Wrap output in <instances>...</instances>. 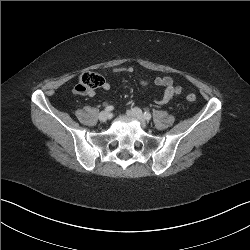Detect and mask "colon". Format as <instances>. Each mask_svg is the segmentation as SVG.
Instances as JSON below:
<instances>
[{
	"mask_svg": "<svg viewBox=\"0 0 250 250\" xmlns=\"http://www.w3.org/2000/svg\"><path fill=\"white\" fill-rule=\"evenodd\" d=\"M102 84L103 78L99 74L86 72L80 76L74 91L78 94H86L89 91L101 87ZM186 100L190 103H194L196 101V96L194 94H189L186 96Z\"/></svg>",
	"mask_w": 250,
	"mask_h": 250,
	"instance_id": "1",
	"label": "colon"
}]
</instances>
